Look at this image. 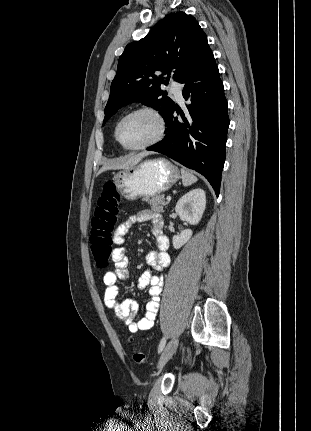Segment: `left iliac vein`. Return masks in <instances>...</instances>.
<instances>
[{"label": "left iliac vein", "mask_w": 311, "mask_h": 431, "mask_svg": "<svg viewBox=\"0 0 311 431\" xmlns=\"http://www.w3.org/2000/svg\"><path fill=\"white\" fill-rule=\"evenodd\" d=\"M179 340L178 337H173L168 344L166 345L164 351L162 352V355L159 359L157 368L160 370L171 358L173 353L176 351L178 346Z\"/></svg>", "instance_id": "obj_1"}]
</instances>
